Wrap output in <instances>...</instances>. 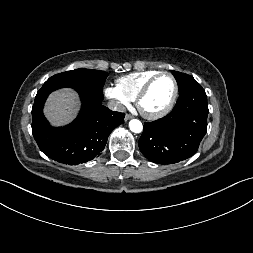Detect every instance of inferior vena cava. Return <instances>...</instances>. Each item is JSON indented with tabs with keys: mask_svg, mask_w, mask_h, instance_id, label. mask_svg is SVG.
Returning a JSON list of instances; mask_svg holds the SVG:
<instances>
[{
	"mask_svg": "<svg viewBox=\"0 0 253 253\" xmlns=\"http://www.w3.org/2000/svg\"><path fill=\"white\" fill-rule=\"evenodd\" d=\"M108 108L113 111L125 112L126 108L115 100H111L108 103Z\"/></svg>",
	"mask_w": 253,
	"mask_h": 253,
	"instance_id": "602c4592",
	"label": "inferior vena cava"
}]
</instances>
